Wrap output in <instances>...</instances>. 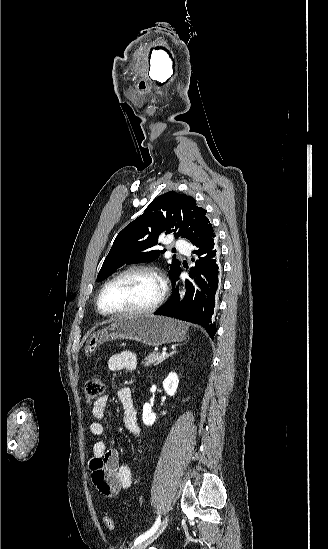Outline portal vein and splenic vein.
Returning <instances> with one entry per match:
<instances>
[{
	"instance_id": "18ae733b",
	"label": "portal vein and splenic vein",
	"mask_w": 328,
	"mask_h": 549,
	"mask_svg": "<svg viewBox=\"0 0 328 549\" xmlns=\"http://www.w3.org/2000/svg\"><path fill=\"white\" fill-rule=\"evenodd\" d=\"M162 357H166V353H162Z\"/></svg>"
}]
</instances>
